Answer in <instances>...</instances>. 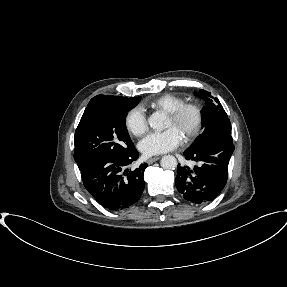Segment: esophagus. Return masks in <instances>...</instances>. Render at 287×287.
I'll return each instance as SVG.
<instances>
[{
    "instance_id": "obj_1",
    "label": "esophagus",
    "mask_w": 287,
    "mask_h": 287,
    "mask_svg": "<svg viewBox=\"0 0 287 287\" xmlns=\"http://www.w3.org/2000/svg\"><path fill=\"white\" fill-rule=\"evenodd\" d=\"M159 159H160V156L152 157V158H149V159L147 160V163H148V164H152L153 162H155V161H157V160H159Z\"/></svg>"
}]
</instances>
